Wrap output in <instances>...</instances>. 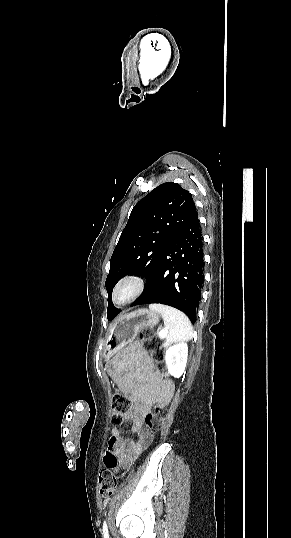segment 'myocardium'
<instances>
[{
	"label": "myocardium",
	"instance_id": "f54148a6",
	"mask_svg": "<svg viewBox=\"0 0 291 538\" xmlns=\"http://www.w3.org/2000/svg\"><path fill=\"white\" fill-rule=\"evenodd\" d=\"M145 287V280L140 275H125L115 284L111 294V301L117 306L126 305L136 300L144 292Z\"/></svg>",
	"mask_w": 291,
	"mask_h": 538
}]
</instances>
